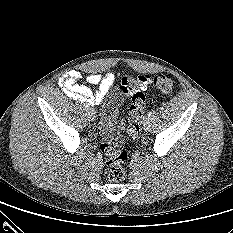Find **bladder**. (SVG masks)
<instances>
[{
	"mask_svg": "<svg viewBox=\"0 0 233 233\" xmlns=\"http://www.w3.org/2000/svg\"><path fill=\"white\" fill-rule=\"evenodd\" d=\"M121 110V99L115 95L111 98L99 122L98 134L102 141L117 142L121 138V126L119 123Z\"/></svg>",
	"mask_w": 233,
	"mask_h": 233,
	"instance_id": "bladder-1",
	"label": "bladder"
}]
</instances>
